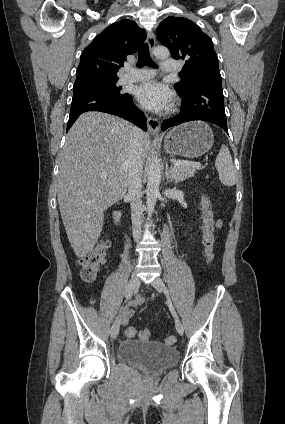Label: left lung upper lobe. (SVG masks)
Returning <instances> with one entry per match:
<instances>
[{
	"instance_id": "1",
	"label": "left lung upper lobe",
	"mask_w": 285,
	"mask_h": 424,
	"mask_svg": "<svg viewBox=\"0 0 285 424\" xmlns=\"http://www.w3.org/2000/svg\"><path fill=\"white\" fill-rule=\"evenodd\" d=\"M156 34L174 59L185 60L183 74H180L182 80L174 85L178 93H185L198 83L221 82L213 43L191 20L168 17L159 24Z\"/></svg>"
}]
</instances>
